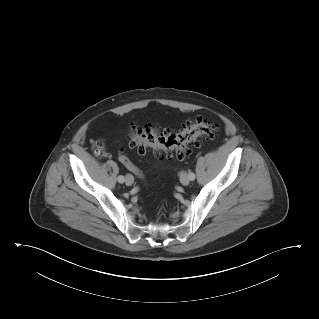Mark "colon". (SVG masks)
Here are the masks:
<instances>
[{"label":"colon","mask_w":319,"mask_h":319,"mask_svg":"<svg viewBox=\"0 0 319 319\" xmlns=\"http://www.w3.org/2000/svg\"><path fill=\"white\" fill-rule=\"evenodd\" d=\"M217 127L202 117H196L187 121L178 130L160 129L151 125H133L131 126L130 145L135 147L140 153H144L147 148H151L156 158L163 159H184L190 147L200 146L205 141L212 140L215 137ZM103 146L98 143L95 146V152L102 154ZM119 161L138 178H143V174L130 159L121 154Z\"/></svg>","instance_id":"5ec220e1"}]
</instances>
